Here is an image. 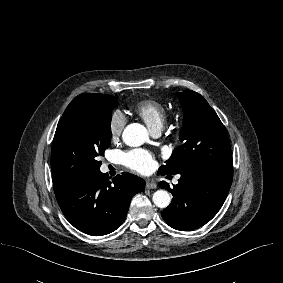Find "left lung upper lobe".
Instances as JSON below:
<instances>
[{
  "label": "left lung upper lobe",
  "mask_w": 283,
  "mask_h": 283,
  "mask_svg": "<svg viewBox=\"0 0 283 283\" xmlns=\"http://www.w3.org/2000/svg\"><path fill=\"white\" fill-rule=\"evenodd\" d=\"M184 119L182 142L158 173L180 174L188 171L223 173L232 171V155L226 129L215 111L198 93H178Z\"/></svg>",
  "instance_id": "1"
}]
</instances>
